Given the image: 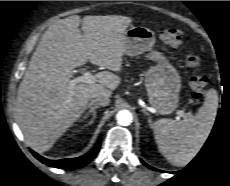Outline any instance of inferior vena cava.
Masks as SVG:
<instances>
[{"label":"inferior vena cava","instance_id":"inferior-vena-cava-1","mask_svg":"<svg viewBox=\"0 0 230 186\" xmlns=\"http://www.w3.org/2000/svg\"><path fill=\"white\" fill-rule=\"evenodd\" d=\"M110 103L109 96L106 94L95 93L90 97V104L96 106H107Z\"/></svg>","mask_w":230,"mask_h":186}]
</instances>
